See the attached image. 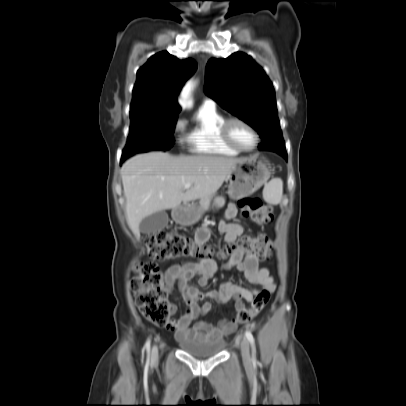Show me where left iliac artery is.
I'll use <instances>...</instances> for the list:
<instances>
[{
    "label": "left iliac artery",
    "instance_id": "obj_1",
    "mask_svg": "<svg viewBox=\"0 0 406 406\" xmlns=\"http://www.w3.org/2000/svg\"><path fill=\"white\" fill-rule=\"evenodd\" d=\"M245 336L248 339V341L250 342L251 346H252V360L255 363L256 362V349H255V340L254 337L252 335V333L248 330L245 331Z\"/></svg>",
    "mask_w": 406,
    "mask_h": 406
}]
</instances>
